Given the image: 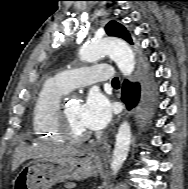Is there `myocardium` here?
Returning <instances> with one entry per match:
<instances>
[{
    "label": "myocardium",
    "mask_w": 188,
    "mask_h": 189,
    "mask_svg": "<svg viewBox=\"0 0 188 189\" xmlns=\"http://www.w3.org/2000/svg\"><path fill=\"white\" fill-rule=\"evenodd\" d=\"M58 129L63 139L69 142H81L87 140L90 137L89 132L73 133L69 126V120L67 115L66 106L61 104L56 117Z\"/></svg>",
    "instance_id": "obj_1"
}]
</instances>
